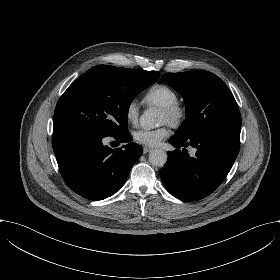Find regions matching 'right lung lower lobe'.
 <instances>
[{"instance_id":"98d812e1","label":"right lung lower lobe","mask_w":280,"mask_h":280,"mask_svg":"<svg viewBox=\"0 0 280 280\" xmlns=\"http://www.w3.org/2000/svg\"><path fill=\"white\" fill-rule=\"evenodd\" d=\"M113 137L120 142L132 140L128 130ZM103 138L79 131L52 136L63 179L75 193L89 200H102L116 193L143 152L136 143L114 151L103 145Z\"/></svg>"}]
</instances>
